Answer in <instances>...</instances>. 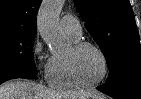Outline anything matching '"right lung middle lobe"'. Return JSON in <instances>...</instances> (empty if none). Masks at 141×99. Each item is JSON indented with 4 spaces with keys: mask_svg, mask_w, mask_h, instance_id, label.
I'll return each instance as SVG.
<instances>
[{
    "mask_svg": "<svg viewBox=\"0 0 141 99\" xmlns=\"http://www.w3.org/2000/svg\"><path fill=\"white\" fill-rule=\"evenodd\" d=\"M36 31L0 30V74L14 71L37 73L32 47Z\"/></svg>",
    "mask_w": 141,
    "mask_h": 99,
    "instance_id": "dd1d6c3e",
    "label": "right lung middle lobe"
}]
</instances>
